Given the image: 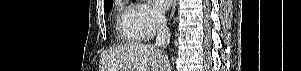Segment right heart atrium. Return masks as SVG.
I'll return each mask as SVG.
<instances>
[{
	"label": "right heart atrium",
	"instance_id": "d8ad5b80",
	"mask_svg": "<svg viewBox=\"0 0 301 71\" xmlns=\"http://www.w3.org/2000/svg\"><path fill=\"white\" fill-rule=\"evenodd\" d=\"M132 17L142 38H151L164 25V16L147 2L131 8Z\"/></svg>",
	"mask_w": 301,
	"mask_h": 71
}]
</instances>
